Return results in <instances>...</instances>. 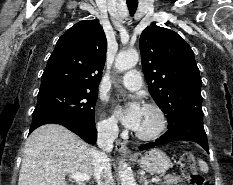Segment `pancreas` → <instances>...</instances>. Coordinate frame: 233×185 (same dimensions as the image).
<instances>
[{
  "label": "pancreas",
  "instance_id": "pancreas-1",
  "mask_svg": "<svg viewBox=\"0 0 233 185\" xmlns=\"http://www.w3.org/2000/svg\"><path fill=\"white\" fill-rule=\"evenodd\" d=\"M182 182L180 176H166L164 182L160 183V185H178V183Z\"/></svg>",
  "mask_w": 233,
  "mask_h": 185
}]
</instances>
